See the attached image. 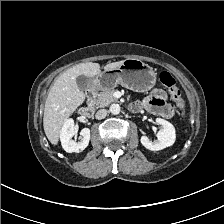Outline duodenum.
<instances>
[{
	"label": "duodenum",
	"instance_id": "410a0bca",
	"mask_svg": "<svg viewBox=\"0 0 224 224\" xmlns=\"http://www.w3.org/2000/svg\"><path fill=\"white\" fill-rule=\"evenodd\" d=\"M95 96V91L93 89L87 92V102L80 108V115L82 117H89L93 113V98ZM134 109H139L138 105H133Z\"/></svg>",
	"mask_w": 224,
	"mask_h": 224
}]
</instances>
